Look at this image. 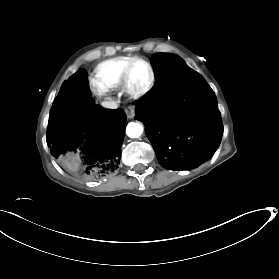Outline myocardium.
<instances>
[{
  "label": "myocardium",
  "instance_id": "f54148a6",
  "mask_svg": "<svg viewBox=\"0 0 279 279\" xmlns=\"http://www.w3.org/2000/svg\"><path fill=\"white\" fill-rule=\"evenodd\" d=\"M136 62H142V63L146 64L150 71V80H149L148 84L140 90H135L134 88H132V86L130 84L131 69H132L133 64ZM155 83H156V72H155L153 65L150 63V61H148L147 59L142 58V57H133L129 60V62L127 63V65L124 68L123 84H122V89L126 93L127 96H129L131 99L143 98L144 96H146L148 93L151 92V90L155 86Z\"/></svg>",
  "mask_w": 279,
  "mask_h": 279
}]
</instances>
